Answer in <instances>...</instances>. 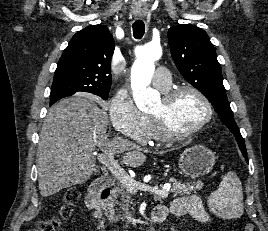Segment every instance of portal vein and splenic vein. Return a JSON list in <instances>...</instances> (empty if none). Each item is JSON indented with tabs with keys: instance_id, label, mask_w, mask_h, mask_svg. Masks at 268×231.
<instances>
[{
	"instance_id": "1",
	"label": "portal vein and splenic vein",
	"mask_w": 268,
	"mask_h": 231,
	"mask_svg": "<svg viewBox=\"0 0 268 231\" xmlns=\"http://www.w3.org/2000/svg\"><path fill=\"white\" fill-rule=\"evenodd\" d=\"M99 162L107 167L110 172L123 184L129 191H145L154 193L160 198H167L170 186H164L161 189L158 186H150L134 180L129 174L120 166L115 160L114 155L109 153H103L98 156Z\"/></svg>"
}]
</instances>
